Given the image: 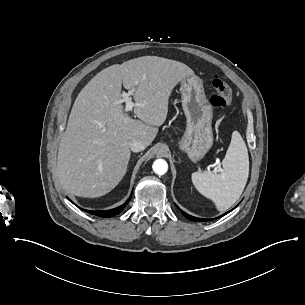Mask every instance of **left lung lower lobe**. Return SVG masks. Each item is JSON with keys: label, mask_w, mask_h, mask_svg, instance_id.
<instances>
[{"label": "left lung lower lobe", "mask_w": 305, "mask_h": 305, "mask_svg": "<svg viewBox=\"0 0 305 305\" xmlns=\"http://www.w3.org/2000/svg\"><path fill=\"white\" fill-rule=\"evenodd\" d=\"M181 212H182V214H183L184 217H186L187 219L192 220V221H211V220H214V219H218V218H220V217H222V216H224L225 214L228 213V212H227V213H225V214H223V215H221V216H219V217H217V218H214V219H202V218H197V217L191 216V215L185 213V212L182 211V210H181Z\"/></svg>", "instance_id": "1"}]
</instances>
